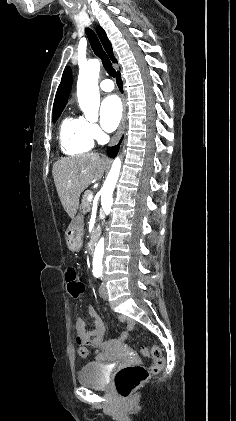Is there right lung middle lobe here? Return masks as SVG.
<instances>
[{
  "label": "right lung middle lobe",
  "mask_w": 236,
  "mask_h": 421,
  "mask_svg": "<svg viewBox=\"0 0 236 421\" xmlns=\"http://www.w3.org/2000/svg\"><path fill=\"white\" fill-rule=\"evenodd\" d=\"M62 111H63V109H58V110L53 111V123H55L57 121V119L59 118Z\"/></svg>",
  "instance_id": "obj_1"
}]
</instances>
